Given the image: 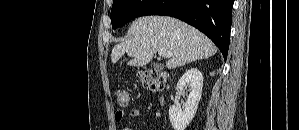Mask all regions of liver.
I'll list each match as a JSON object with an SVG mask.
<instances>
[{
	"instance_id": "1",
	"label": "liver",
	"mask_w": 299,
	"mask_h": 130,
	"mask_svg": "<svg viewBox=\"0 0 299 130\" xmlns=\"http://www.w3.org/2000/svg\"><path fill=\"white\" fill-rule=\"evenodd\" d=\"M160 49L172 53L166 62L168 69L209 58L217 52L208 37L185 22L167 16H145L136 19L128 37L114 46L111 61L115 64L126 53L133 57L128 65L140 67L149 63Z\"/></svg>"
}]
</instances>
